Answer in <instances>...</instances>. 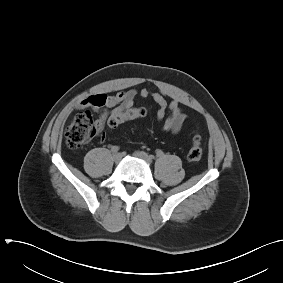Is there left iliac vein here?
<instances>
[{
    "mask_svg": "<svg viewBox=\"0 0 283 283\" xmlns=\"http://www.w3.org/2000/svg\"><path fill=\"white\" fill-rule=\"evenodd\" d=\"M134 156L145 161L148 164L152 163V158L145 152L143 151H136L134 152Z\"/></svg>",
    "mask_w": 283,
    "mask_h": 283,
    "instance_id": "left-iliac-vein-1",
    "label": "left iliac vein"
}]
</instances>
